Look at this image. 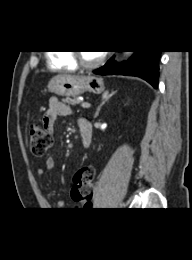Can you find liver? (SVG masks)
I'll list each match as a JSON object with an SVG mask.
<instances>
[{
	"instance_id": "6515ba94",
	"label": "liver",
	"mask_w": 192,
	"mask_h": 260,
	"mask_svg": "<svg viewBox=\"0 0 192 260\" xmlns=\"http://www.w3.org/2000/svg\"><path fill=\"white\" fill-rule=\"evenodd\" d=\"M64 76H69V77H72V75H66V74H65Z\"/></svg>"
}]
</instances>
